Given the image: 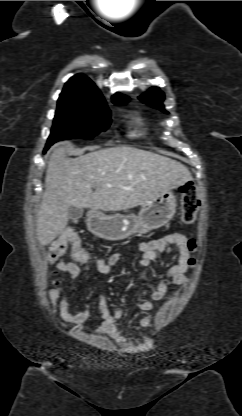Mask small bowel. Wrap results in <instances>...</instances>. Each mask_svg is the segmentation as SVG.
<instances>
[{"instance_id":"obj_1","label":"small bowel","mask_w":242,"mask_h":416,"mask_svg":"<svg viewBox=\"0 0 242 416\" xmlns=\"http://www.w3.org/2000/svg\"><path fill=\"white\" fill-rule=\"evenodd\" d=\"M187 242L188 239L185 233L182 230H177L160 238L138 244V250L141 255L137 263L142 267L150 266L166 246L171 245L177 249L174 262L169 266L156 288L148 292L145 290L137 292L136 303L140 310H152L154 303L162 300L166 296L169 282H173L181 287L186 286L187 279L185 277V272L187 270L189 258ZM121 257V253L115 252L107 258H98L94 261V268L101 274H108L112 267L120 261ZM56 268L58 271L65 273V276L61 277L62 281L66 279H75L83 270L87 269V267L82 268L72 261L65 260L58 262ZM69 291V287L63 291V288L60 285L56 286L51 291L50 301L53 310L60 315L64 324L70 323L81 325L90 316L91 304L86 302L82 311L72 313L69 310ZM97 307L102 318V324L98 333L108 335L118 345L126 344L127 336L121 333L117 327V321L124 316V311L117 309L116 311L111 312L103 293L99 294ZM149 324L150 319L148 317H143L139 320V326L142 328L147 327Z\"/></svg>"}]
</instances>
